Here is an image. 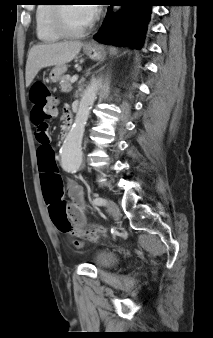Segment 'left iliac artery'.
Segmentation results:
<instances>
[{"instance_id": "obj_1", "label": "left iliac artery", "mask_w": 213, "mask_h": 338, "mask_svg": "<svg viewBox=\"0 0 213 338\" xmlns=\"http://www.w3.org/2000/svg\"><path fill=\"white\" fill-rule=\"evenodd\" d=\"M93 203L97 206H102L105 205V200L101 197H96L94 198Z\"/></svg>"}]
</instances>
